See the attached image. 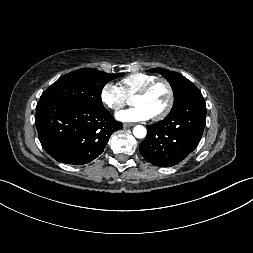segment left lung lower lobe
<instances>
[{
    "mask_svg": "<svg viewBox=\"0 0 253 253\" xmlns=\"http://www.w3.org/2000/svg\"><path fill=\"white\" fill-rule=\"evenodd\" d=\"M205 124L206 105L196 88L164 120L147 126L140 153L155 166H174L198 146Z\"/></svg>",
    "mask_w": 253,
    "mask_h": 253,
    "instance_id": "1",
    "label": "left lung lower lobe"
}]
</instances>
